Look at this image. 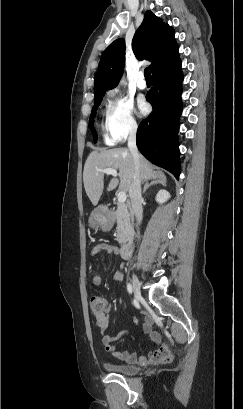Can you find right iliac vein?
<instances>
[{
  "label": "right iliac vein",
  "mask_w": 243,
  "mask_h": 409,
  "mask_svg": "<svg viewBox=\"0 0 243 409\" xmlns=\"http://www.w3.org/2000/svg\"><path fill=\"white\" fill-rule=\"evenodd\" d=\"M132 284H133L134 296L136 299H139L141 297L140 283H139L138 278L135 275H133L132 277Z\"/></svg>",
  "instance_id": "obj_1"
}]
</instances>
